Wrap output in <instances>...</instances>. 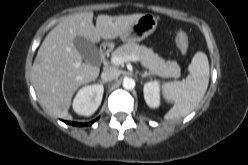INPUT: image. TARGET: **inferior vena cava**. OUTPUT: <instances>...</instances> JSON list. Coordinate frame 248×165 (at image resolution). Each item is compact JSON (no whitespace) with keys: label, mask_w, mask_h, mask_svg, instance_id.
I'll return each mask as SVG.
<instances>
[{"label":"inferior vena cava","mask_w":248,"mask_h":165,"mask_svg":"<svg viewBox=\"0 0 248 165\" xmlns=\"http://www.w3.org/2000/svg\"><path fill=\"white\" fill-rule=\"evenodd\" d=\"M120 72L116 69H105L101 74L102 81L108 82L116 79Z\"/></svg>","instance_id":"1"}]
</instances>
